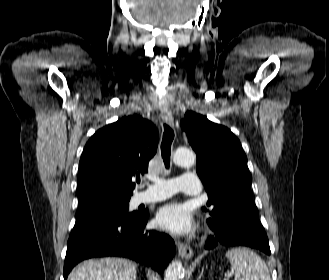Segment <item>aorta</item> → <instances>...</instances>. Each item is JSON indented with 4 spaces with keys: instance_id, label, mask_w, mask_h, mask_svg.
<instances>
[{
    "instance_id": "1",
    "label": "aorta",
    "mask_w": 329,
    "mask_h": 280,
    "mask_svg": "<svg viewBox=\"0 0 329 280\" xmlns=\"http://www.w3.org/2000/svg\"><path fill=\"white\" fill-rule=\"evenodd\" d=\"M173 161L179 166H192L195 163V154L189 149L178 148L174 152ZM184 272L181 261H173L166 269L164 280H181Z\"/></svg>"
}]
</instances>
